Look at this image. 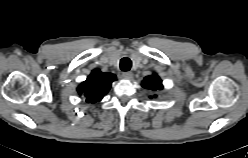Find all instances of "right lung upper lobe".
<instances>
[{
  "mask_svg": "<svg viewBox=\"0 0 248 158\" xmlns=\"http://www.w3.org/2000/svg\"><path fill=\"white\" fill-rule=\"evenodd\" d=\"M116 80V76L112 73H102L95 69L92 71L83 83L77 89L80 95L86 97V102L95 103L100 101L109 91L111 83Z\"/></svg>",
  "mask_w": 248,
  "mask_h": 158,
  "instance_id": "1",
  "label": "right lung upper lobe"
}]
</instances>
